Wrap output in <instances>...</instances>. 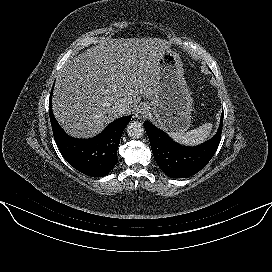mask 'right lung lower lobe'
I'll list each match as a JSON object with an SVG mask.
<instances>
[{"label":"right lung lower lobe","instance_id":"98d812e1","mask_svg":"<svg viewBox=\"0 0 272 272\" xmlns=\"http://www.w3.org/2000/svg\"><path fill=\"white\" fill-rule=\"evenodd\" d=\"M53 91V87H52ZM49 99V115L55 142L65 160L75 169L91 177L106 176L117 163V149L131 116L119 118L91 139L68 136L56 121Z\"/></svg>","mask_w":272,"mask_h":272}]
</instances>
